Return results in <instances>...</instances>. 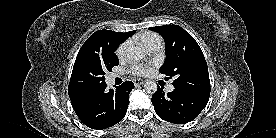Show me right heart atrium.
Wrapping results in <instances>:
<instances>
[{"label": "right heart atrium", "mask_w": 276, "mask_h": 138, "mask_svg": "<svg viewBox=\"0 0 276 138\" xmlns=\"http://www.w3.org/2000/svg\"><path fill=\"white\" fill-rule=\"evenodd\" d=\"M128 45L127 43H122L116 50V55L119 59H123L126 56Z\"/></svg>", "instance_id": "1"}]
</instances>
